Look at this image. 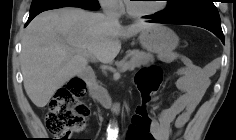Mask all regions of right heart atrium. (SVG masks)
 I'll return each mask as SVG.
<instances>
[{"mask_svg": "<svg viewBox=\"0 0 236 140\" xmlns=\"http://www.w3.org/2000/svg\"><path fill=\"white\" fill-rule=\"evenodd\" d=\"M102 8L114 15H120L124 12V6L121 0H100Z\"/></svg>", "mask_w": 236, "mask_h": 140, "instance_id": "obj_1", "label": "right heart atrium"}]
</instances>
